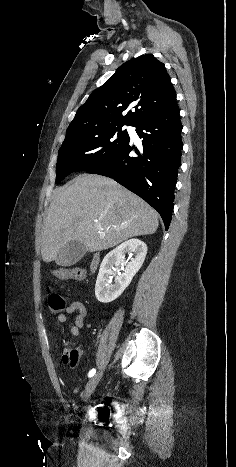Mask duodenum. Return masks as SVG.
I'll list each match as a JSON object with an SVG mask.
<instances>
[{
	"label": "duodenum",
	"mask_w": 236,
	"mask_h": 467,
	"mask_svg": "<svg viewBox=\"0 0 236 467\" xmlns=\"http://www.w3.org/2000/svg\"><path fill=\"white\" fill-rule=\"evenodd\" d=\"M98 264H99V255L95 254L89 265L90 270L94 271L98 267Z\"/></svg>",
	"instance_id": "410a0bca"
}]
</instances>
